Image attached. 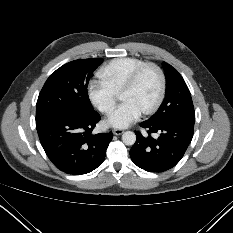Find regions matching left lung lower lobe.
<instances>
[{"label": "left lung lower lobe", "mask_w": 233, "mask_h": 233, "mask_svg": "<svg viewBox=\"0 0 233 233\" xmlns=\"http://www.w3.org/2000/svg\"><path fill=\"white\" fill-rule=\"evenodd\" d=\"M148 136L136 132L137 139L130 150L134 164L148 172H163L173 168L183 157L194 131V121L174 120L153 124L148 120L140 124ZM159 133L154 139L150 134Z\"/></svg>", "instance_id": "0a47b994"}]
</instances>
